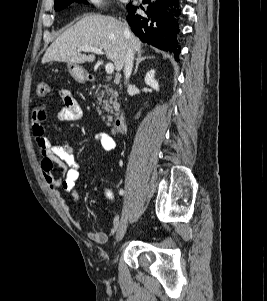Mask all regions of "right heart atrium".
Here are the masks:
<instances>
[{
	"mask_svg": "<svg viewBox=\"0 0 267 301\" xmlns=\"http://www.w3.org/2000/svg\"><path fill=\"white\" fill-rule=\"evenodd\" d=\"M88 3L94 7H101L105 4L106 0H87Z\"/></svg>",
	"mask_w": 267,
	"mask_h": 301,
	"instance_id": "right-heart-atrium-1",
	"label": "right heart atrium"
}]
</instances>
